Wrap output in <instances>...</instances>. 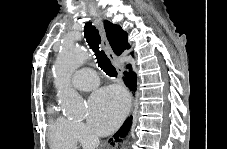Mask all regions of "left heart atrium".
<instances>
[{
  "label": "left heart atrium",
  "instance_id": "1",
  "mask_svg": "<svg viewBox=\"0 0 227 149\" xmlns=\"http://www.w3.org/2000/svg\"><path fill=\"white\" fill-rule=\"evenodd\" d=\"M88 123L98 134L111 132L122 120L127 109L125 94L116 87L96 91L89 100Z\"/></svg>",
  "mask_w": 227,
  "mask_h": 149
}]
</instances>
